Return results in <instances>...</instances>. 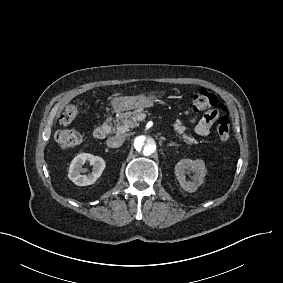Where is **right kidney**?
<instances>
[{
    "label": "right kidney",
    "instance_id": "right-kidney-1",
    "mask_svg": "<svg viewBox=\"0 0 283 283\" xmlns=\"http://www.w3.org/2000/svg\"><path fill=\"white\" fill-rule=\"evenodd\" d=\"M86 161H89L90 165L93 166V169L91 173L82 175L81 173L86 171L82 168ZM105 166V161L101 157L87 153H80L70 164L68 178L78 186L91 185L94 184L101 176Z\"/></svg>",
    "mask_w": 283,
    "mask_h": 283
}]
</instances>
